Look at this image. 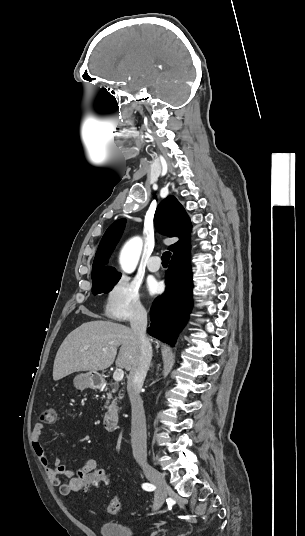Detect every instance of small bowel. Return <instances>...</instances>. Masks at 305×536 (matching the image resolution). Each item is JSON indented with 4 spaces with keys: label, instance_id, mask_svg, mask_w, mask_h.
Returning a JSON list of instances; mask_svg holds the SVG:
<instances>
[{
    "label": "small bowel",
    "instance_id": "c3829d8e",
    "mask_svg": "<svg viewBox=\"0 0 305 536\" xmlns=\"http://www.w3.org/2000/svg\"><path fill=\"white\" fill-rule=\"evenodd\" d=\"M43 430L44 427H33L31 442L39 463L51 484L58 488L62 497H67L74 492H81L85 479H88V469H93L94 464L97 463L96 460L89 458L76 469L69 467L60 458H55L51 462L41 442ZM62 478H66L68 481L63 482Z\"/></svg>",
    "mask_w": 305,
    "mask_h": 536
}]
</instances>
